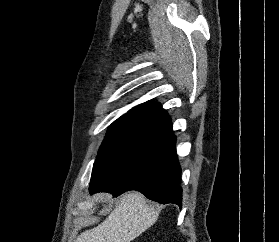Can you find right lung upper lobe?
I'll return each mask as SVG.
<instances>
[{
	"instance_id": "cb5924a9",
	"label": "right lung upper lobe",
	"mask_w": 279,
	"mask_h": 242,
	"mask_svg": "<svg viewBox=\"0 0 279 242\" xmlns=\"http://www.w3.org/2000/svg\"><path fill=\"white\" fill-rule=\"evenodd\" d=\"M145 114L149 116L163 118L167 113L159 103L148 101L132 108L128 114Z\"/></svg>"
}]
</instances>
